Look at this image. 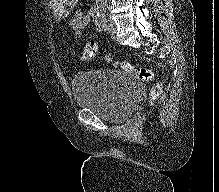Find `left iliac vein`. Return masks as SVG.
I'll return each mask as SVG.
<instances>
[{
  "label": "left iliac vein",
  "instance_id": "1",
  "mask_svg": "<svg viewBox=\"0 0 219 192\" xmlns=\"http://www.w3.org/2000/svg\"><path fill=\"white\" fill-rule=\"evenodd\" d=\"M107 21V29L106 31L110 34H112L113 36H115L116 32H117V27L116 24L110 20V19H106Z\"/></svg>",
  "mask_w": 219,
  "mask_h": 192
}]
</instances>
